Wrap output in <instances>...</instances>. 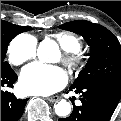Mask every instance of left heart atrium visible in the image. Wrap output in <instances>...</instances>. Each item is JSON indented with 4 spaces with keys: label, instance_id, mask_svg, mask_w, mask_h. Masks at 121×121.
Returning <instances> with one entry per match:
<instances>
[{
    "label": "left heart atrium",
    "instance_id": "left-heart-atrium-1",
    "mask_svg": "<svg viewBox=\"0 0 121 121\" xmlns=\"http://www.w3.org/2000/svg\"><path fill=\"white\" fill-rule=\"evenodd\" d=\"M67 80L61 67L33 63L23 69L20 86L27 94L49 95L61 90Z\"/></svg>",
    "mask_w": 121,
    "mask_h": 121
}]
</instances>
